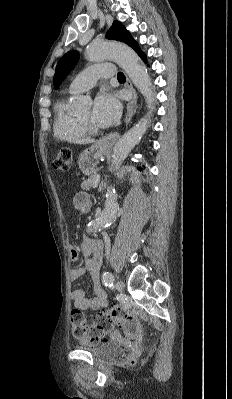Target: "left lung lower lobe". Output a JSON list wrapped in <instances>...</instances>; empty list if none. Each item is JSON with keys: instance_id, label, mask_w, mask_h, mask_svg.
<instances>
[{"instance_id": "left-lung-lower-lobe-1", "label": "left lung lower lobe", "mask_w": 232, "mask_h": 399, "mask_svg": "<svg viewBox=\"0 0 232 399\" xmlns=\"http://www.w3.org/2000/svg\"><path fill=\"white\" fill-rule=\"evenodd\" d=\"M137 52V54L144 60V62H146V55L140 50V48H138L137 50H135Z\"/></svg>"}]
</instances>
